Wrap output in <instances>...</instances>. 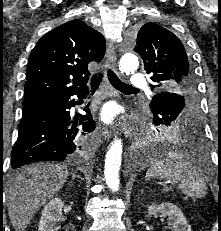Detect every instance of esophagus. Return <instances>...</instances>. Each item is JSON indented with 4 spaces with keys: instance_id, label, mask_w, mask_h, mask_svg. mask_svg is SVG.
<instances>
[{
    "instance_id": "34e87169",
    "label": "esophagus",
    "mask_w": 221,
    "mask_h": 231,
    "mask_svg": "<svg viewBox=\"0 0 221 231\" xmlns=\"http://www.w3.org/2000/svg\"><path fill=\"white\" fill-rule=\"evenodd\" d=\"M116 52L115 46L112 41L108 43L106 51V65L108 68L116 71ZM100 133L104 139H110L112 137L111 130L106 126H100Z\"/></svg>"
}]
</instances>
